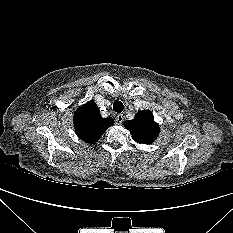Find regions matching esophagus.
<instances>
[{
	"label": "esophagus",
	"instance_id": "esophagus-1",
	"mask_svg": "<svg viewBox=\"0 0 233 233\" xmlns=\"http://www.w3.org/2000/svg\"><path fill=\"white\" fill-rule=\"evenodd\" d=\"M123 119H124L123 115H122V114H118V115L116 116V120H115L116 124H117V125L122 124Z\"/></svg>",
	"mask_w": 233,
	"mask_h": 233
}]
</instances>
